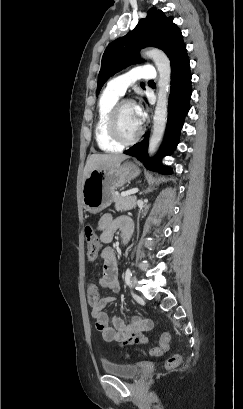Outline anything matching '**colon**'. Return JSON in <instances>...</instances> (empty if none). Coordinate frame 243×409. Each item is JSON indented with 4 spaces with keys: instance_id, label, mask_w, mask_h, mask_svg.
Instances as JSON below:
<instances>
[{
    "instance_id": "colon-1",
    "label": "colon",
    "mask_w": 243,
    "mask_h": 409,
    "mask_svg": "<svg viewBox=\"0 0 243 409\" xmlns=\"http://www.w3.org/2000/svg\"><path fill=\"white\" fill-rule=\"evenodd\" d=\"M84 236L87 244L88 257L95 258L100 251L101 242L91 225H87L84 228ZM87 298L90 305H96L100 299L98 290L95 287L90 286L88 288ZM169 345L170 335L168 333H164L159 341L158 346L151 349V353L153 355L161 354L169 349ZM180 361L181 355L173 354L167 359L166 368L174 369L180 364Z\"/></svg>"
}]
</instances>
